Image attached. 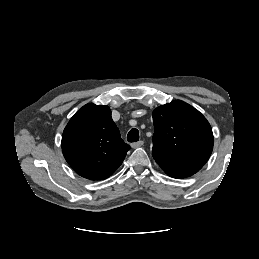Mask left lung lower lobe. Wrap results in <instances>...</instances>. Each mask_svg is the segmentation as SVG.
Segmentation results:
<instances>
[{"mask_svg": "<svg viewBox=\"0 0 259 259\" xmlns=\"http://www.w3.org/2000/svg\"><path fill=\"white\" fill-rule=\"evenodd\" d=\"M155 161L167 175L173 178L189 177L202 168V165L198 164H180L160 159H155Z\"/></svg>", "mask_w": 259, "mask_h": 259, "instance_id": "1", "label": "left lung lower lobe"}]
</instances>
